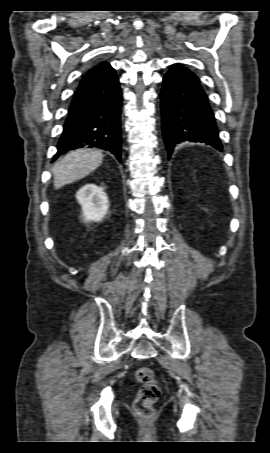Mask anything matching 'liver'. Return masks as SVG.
Returning <instances> with one entry per match:
<instances>
[{
    "instance_id": "1",
    "label": "liver",
    "mask_w": 270,
    "mask_h": 453,
    "mask_svg": "<svg viewBox=\"0 0 270 453\" xmlns=\"http://www.w3.org/2000/svg\"><path fill=\"white\" fill-rule=\"evenodd\" d=\"M103 154L95 149H79L66 154L53 168L54 188L80 180L97 169Z\"/></svg>"
}]
</instances>
